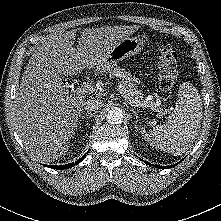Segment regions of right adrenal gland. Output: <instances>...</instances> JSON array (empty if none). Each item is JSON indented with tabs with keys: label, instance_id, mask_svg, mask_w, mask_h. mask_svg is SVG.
Instances as JSON below:
<instances>
[{
	"label": "right adrenal gland",
	"instance_id": "obj_1",
	"mask_svg": "<svg viewBox=\"0 0 221 221\" xmlns=\"http://www.w3.org/2000/svg\"><path fill=\"white\" fill-rule=\"evenodd\" d=\"M95 116V112L94 113H83L81 118L85 119V118H93Z\"/></svg>",
	"mask_w": 221,
	"mask_h": 221
}]
</instances>
